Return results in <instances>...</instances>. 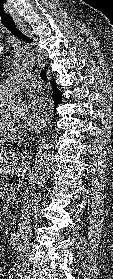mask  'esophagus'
I'll list each match as a JSON object with an SVG mask.
<instances>
[{"label": "esophagus", "mask_w": 113, "mask_h": 279, "mask_svg": "<svg viewBox=\"0 0 113 279\" xmlns=\"http://www.w3.org/2000/svg\"><path fill=\"white\" fill-rule=\"evenodd\" d=\"M18 27L24 32L27 36L33 39L35 51L38 56V66L44 68L46 65V53L45 51L39 47L38 45V36L37 34L27 25L19 24Z\"/></svg>", "instance_id": "34e87169"}]
</instances>
